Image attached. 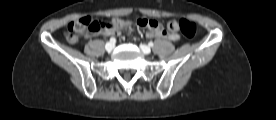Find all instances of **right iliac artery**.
<instances>
[{"mask_svg": "<svg viewBox=\"0 0 276 120\" xmlns=\"http://www.w3.org/2000/svg\"><path fill=\"white\" fill-rule=\"evenodd\" d=\"M110 42L111 43H115L116 42V39L114 37L110 38Z\"/></svg>", "mask_w": 276, "mask_h": 120, "instance_id": "right-iliac-artery-1", "label": "right iliac artery"}]
</instances>
